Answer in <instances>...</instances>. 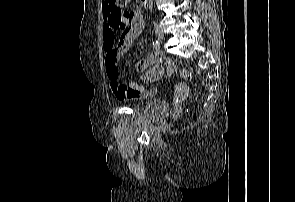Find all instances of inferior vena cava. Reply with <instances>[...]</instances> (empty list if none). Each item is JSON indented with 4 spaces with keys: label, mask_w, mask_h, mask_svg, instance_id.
Here are the masks:
<instances>
[{
    "label": "inferior vena cava",
    "mask_w": 295,
    "mask_h": 202,
    "mask_svg": "<svg viewBox=\"0 0 295 202\" xmlns=\"http://www.w3.org/2000/svg\"><path fill=\"white\" fill-rule=\"evenodd\" d=\"M149 8L152 10V0H149Z\"/></svg>",
    "instance_id": "602c4592"
}]
</instances>
